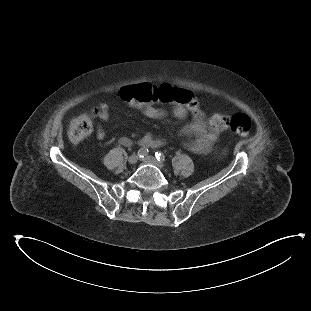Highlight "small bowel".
<instances>
[{
    "mask_svg": "<svg viewBox=\"0 0 311 311\" xmlns=\"http://www.w3.org/2000/svg\"><path fill=\"white\" fill-rule=\"evenodd\" d=\"M165 87V86H163ZM108 105H104L99 113L100 123L107 122L110 118L108 112ZM144 115L153 120H159L167 115V112L161 108L155 107L153 105L147 104L143 106ZM172 114L177 119H185L187 117V109L183 106H176L172 110ZM182 134L191 137V140L187 141V148L198 155L207 154L210 151L211 145L217 140L218 135L216 132L207 131L204 124L200 122H193L182 129ZM97 137L99 140H103L105 137L104 130L101 124L98 127ZM121 144L128 146L132 142L130 139L123 137L120 140ZM140 144L145 147H156L161 144V141L155 138L152 134H145L141 140Z\"/></svg>",
    "mask_w": 311,
    "mask_h": 311,
    "instance_id": "c3829d8e",
    "label": "small bowel"
}]
</instances>
